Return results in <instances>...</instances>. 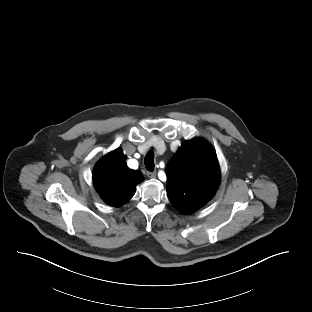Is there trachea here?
I'll list each match as a JSON object with an SVG mask.
<instances>
[{"instance_id":"1","label":"trachea","mask_w":312,"mask_h":312,"mask_svg":"<svg viewBox=\"0 0 312 312\" xmlns=\"http://www.w3.org/2000/svg\"><path fill=\"white\" fill-rule=\"evenodd\" d=\"M145 167L148 171H153L154 169V153L150 150L145 156Z\"/></svg>"}]
</instances>
